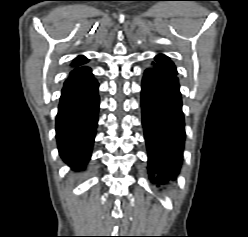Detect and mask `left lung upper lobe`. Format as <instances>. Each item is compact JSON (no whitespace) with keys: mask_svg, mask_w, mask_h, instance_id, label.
I'll return each mask as SVG.
<instances>
[{"mask_svg":"<svg viewBox=\"0 0 248 237\" xmlns=\"http://www.w3.org/2000/svg\"><path fill=\"white\" fill-rule=\"evenodd\" d=\"M156 61L163 67H165L166 69H169V70H172L174 72H176V67L175 65L173 64V62L167 57V56H164V55H158L156 56Z\"/></svg>","mask_w":248,"mask_h":237,"instance_id":"left-lung-upper-lobe-1","label":"left lung upper lobe"}]
</instances>
